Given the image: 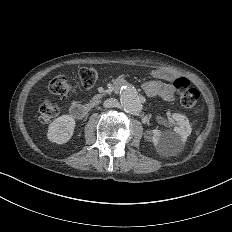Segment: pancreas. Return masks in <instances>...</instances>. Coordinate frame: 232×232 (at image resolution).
I'll return each instance as SVG.
<instances>
[{
  "instance_id": "1",
  "label": "pancreas",
  "mask_w": 232,
  "mask_h": 232,
  "mask_svg": "<svg viewBox=\"0 0 232 232\" xmlns=\"http://www.w3.org/2000/svg\"><path fill=\"white\" fill-rule=\"evenodd\" d=\"M102 98L101 94L95 95L92 98V101L88 104L90 107H94L95 105L99 104L100 99Z\"/></svg>"
}]
</instances>
